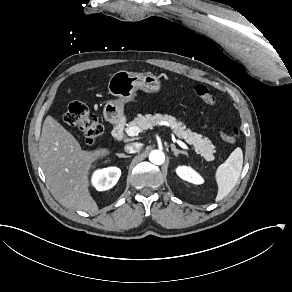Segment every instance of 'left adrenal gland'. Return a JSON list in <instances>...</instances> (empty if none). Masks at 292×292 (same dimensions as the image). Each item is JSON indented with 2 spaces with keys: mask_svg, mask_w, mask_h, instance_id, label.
<instances>
[{
  "mask_svg": "<svg viewBox=\"0 0 292 292\" xmlns=\"http://www.w3.org/2000/svg\"><path fill=\"white\" fill-rule=\"evenodd\" d=\"M171 148H172V151L175 153L176 157H179V155H184V156L188 157V155L185 152H181V151L177 150L175 148L174 144H171Z\"/></svg>",
  "mask_w": 292,
  "mask_h": 292,
  "instance_id": "obj_1",
  "label": "left adrenal gland"
}]
</instances>
